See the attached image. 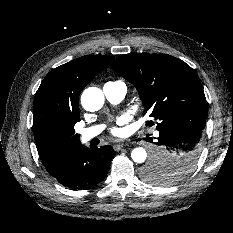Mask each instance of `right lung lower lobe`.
Wrapping results in <instances>:
<instances>
[{"label":"right lung lower lobe","instance_id":"right-lung-lower-lobe-1","mask_svg":"<svg viewBox=\"0 0 233 233\" xmlns=\"http://www.w3.org/2000/svg\"><path fill=\"white\" fill-rule=\"evenodd\" d=\"M116 152L109 145L88 148L81 143L52 152L42 158L46 170L64 187L72 190L89 189L107 175Z\"/></svg>","mask_w":233,"mask_h":233}]
</instances>
